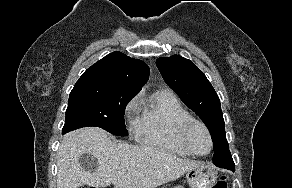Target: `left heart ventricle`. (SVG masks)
<instances>
[{
    "mask_svg": "<svg viewBox=\"0 0 292 188\" xmlns=\"http://www.w3.org/2000/svg\"><path fill=\"white\" fill-rule=\"evenodd\" d=\"M188 141L192 148L200 153L205 154L208 152L210 143L207 134L202 127L193 125L188 132Z\"/></svg>",
    "mask_w": 292,
    "mask_h": 188,
    "instance_id": "left-heart-ventricle-1",
    "label": "left heart ventricle"
}]
</instances>
